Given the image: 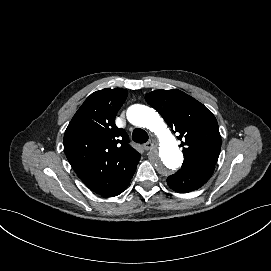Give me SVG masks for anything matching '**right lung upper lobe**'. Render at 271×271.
Segmentation results:
<instances>
[{
	"instance_id": "obj_1",
	"label": "right lung upper lobe",
	"mask_w": 271,
	"mask_h": 271,
	"mask_svg": "<svg viewBox=\"0 0 271 271\" xmlns=\"http://www.w3.org/2000/svg\"><path fill=\"white\" fill-rule=\"evenodd\" d=\"M128 95L125 89L92 93L78 109L64 134V151L88 188L101 194L117 185L141 155L129 145L115 116Z\"/></svg>"
}]
</instances>
